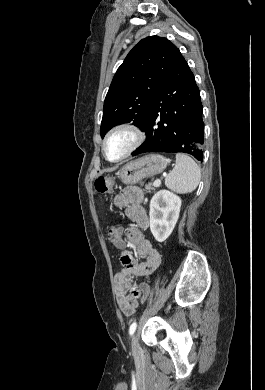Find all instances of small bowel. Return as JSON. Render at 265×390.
Wrapping results in <instances>:
<instances>
[{"label":"small bowel","mask_w":265,"mask_h":390,"mask_svg":"<svg viewBox=\"0 0 265 390\" xmlns=\"http://www.w3.org/2000/svg\"><path fill=\"white\" fill-rule=\"evenodd\" d=\"M143 193L137 187H126L114 198L117 207H124L125 213L134 225L127 230V240L123 238V229L117 228L118 240L115 246L120 251L122 269L115 275L117 301L121 311L132 315L140 299L141 285H133V276H148L160 265L161 256L145 237L144 230L148 225V217L142 206ZM135 248L133 253L128 246ZM138 259L142 260L139 262Z\"/></svg>","instance_id":"1"}]
</instances>
